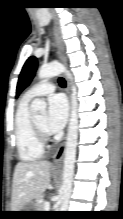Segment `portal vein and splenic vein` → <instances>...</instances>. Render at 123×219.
<instances>
[{"label":"portal vein and splenic vein","instance_id":"1","mask_svg":"<svg viewBox=\"0 0 123 219\" xmlns=\"http://www.w3.org/2000/svg\"><path fill=\"white\" fill-rule=\"evenodd\" d=\"M50 208V202L49 201H45L44 202V209L47 211Z\"/></svg>","mask_w":123,"mask_h":219}]
</instances>
